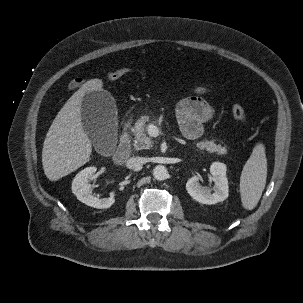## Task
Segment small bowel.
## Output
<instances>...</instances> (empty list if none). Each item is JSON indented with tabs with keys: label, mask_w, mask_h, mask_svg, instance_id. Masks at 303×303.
Listing matches in <instances>:
<instances>
[{
	"label": "small bowel",
	"mask_w": 303,
	"mask_h": 303,
	"mask_svg": "<svg viewBox=\"0 0 303 303\" xmlns=\"http://www.w3.org/2000/svg\"><path fill=\"white\" fill-rule=\"evenodd\" d=\"M84 83L82 78H74L69 83L70 89H77ZM205 87H198L194 94L182 99L176 107V117L182 134L188 139L202 136L204 126L216 117V109L201 96L208 92Z\"/></svg>",
	"instance_id": "small-bowel-1"
}]
</instances>
